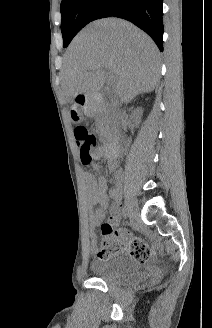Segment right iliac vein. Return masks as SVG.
Segmentation results:
<instances>
[{"label": "right iliac vein", "instance_id": "obj_1", "mask_svg": "<svg viewBox=\"0 0 212 328\" xmlns=\"http://www.w3.org/2000/svg\"><path fill=\"white\" fill-rule=\"evenodd\" d=\"M126 208H127L128 212H129V215L131 217H134V216L137 215L138 210H137V206H136V203H135L134 200L128 199L127 202H126Z\"/></svg>", "mask_w": 212, "mask_h": 328}]
</instances>
